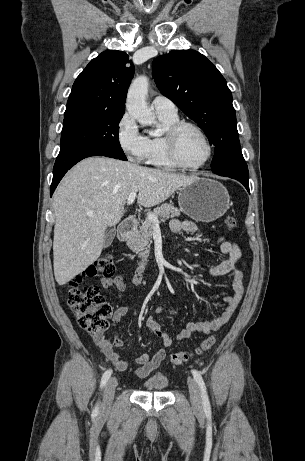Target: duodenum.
<instances>
[{
    "mask_svg": "<svg viewBox=\"0 0 305 461\" xmlns=\"http://www.w3.org/2000/svg\"><path fill=\"white\" fill-rule=\"evenodd\" d=\"M135 227L134 219H127L123 221L117 230L118 238L120 241H126L130 238Z\"/></svg>",
    "mask_w": 305,
    "mask_h": 461,
    "instance_id": "duodenum-1",
    "label": "duodenum"
}]
</instances>
